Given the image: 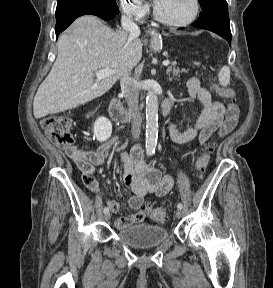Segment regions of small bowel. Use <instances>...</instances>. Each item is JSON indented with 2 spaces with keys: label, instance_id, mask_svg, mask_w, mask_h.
I'll return each mask as SVG.
<instances>
[{
  "label": "small bowel",
  "instance_id": "small-bowel-1",
  "mask_svg": "<svg viewBox=\"0 0 273 288\" xmlns=\"http://www.w3.org/2000/svg\"><path fill=\"white\" fill-rule=\"evenodd\" d=\"M187 88L191 97L199 99L203 105V110L192 128L180 132L173 125H170L173 141L184 144L198 139L203 145L213 133L217 132L220 136H224L236 127L239 119L237 105L212 100L210 92L200 85L197 78H190L187 81ZM109 146L110 142H107L96 150L78 146L67 149L68 157L82 172L83 183L92 192H97L99 189L95 177V166L105 159ZM121 159L124 163V182L132 192L129 206L137 212L132 215L117 217L114 224L119 229L143 223L146 217L143 211L145 196L154 194L157 197H163L171 191L174 184L170 175L162 174L151 165L144 164L142 151L137 147L130 153L122 152ZM108 206L113 213H116L120 208L115 201H109Z\"/></svg>",
  "mask_w": 273,
  "mask_h": 288
}]
</instances>
